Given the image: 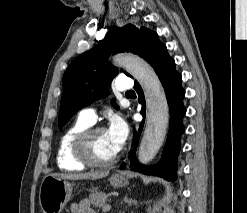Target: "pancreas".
Wrapping results in <instances>:
<instances>
[{
	"instance_id": "obj_1",
	"label": "pancreas",
	"mask_w": 247,
	"mask_h": 213,
	"mask_svg": "<svg viewBox=\"0 0 247 213\" xmlns=\"http://www.w3.org/2000/svg\"><path fill=\"white\" fill-rule=\"evenodd\" d=\"M108 194L105 192H95L89 196L90 201L95 207L104 208Z\"/></svg>"
}]
</instances>
